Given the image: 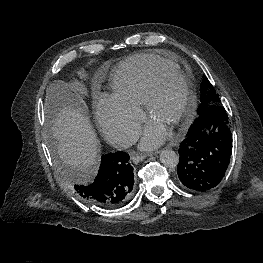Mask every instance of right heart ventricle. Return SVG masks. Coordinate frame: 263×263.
I'll return each instance as SVG.
<instances>
[{"label": "right heart ventricle", "instance_id": "e07e8e85", "mask_svg": "<svg viewBox=\"0 0 263 263\" xmlns=\"http://www.w3.org/2000/svg\"><path fill=\"white\" fill-rule=\"evenodd\" d=\"M163 68L178 69L172 62L151 54H136L127 58L111 73L113 96L130 106L140 107L151 77Z\"/></svg>", "mask_w": 263, "mask_h": 263}]
</instances>
